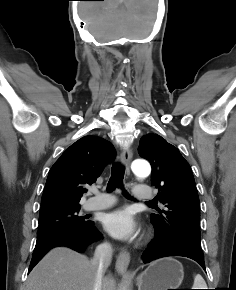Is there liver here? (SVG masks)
Segmentation results:
<instances>
[{
  "label": "liver",
  "mask_w": 236,
  "mask_h": 290,
  "mask_svg": "<svg viewBox=\"0 0 236 290\" xmlns=\"http://www.w3.org/2000/svg\"><path fill=\"white\" fill-rule=\"evenodd\" d=\"M97 268L80 253L66 247L50 250L31 271L25 290H94ZM101 290H116L111 275Z\"/></svg>",
  "instance_id": "liver-1"
}]
</instances>
